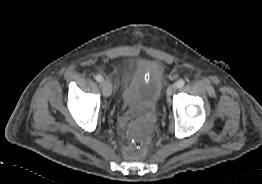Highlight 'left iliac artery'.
<instances>
[{
    "label": "left iliac artery",
    "instance_id": "44dca946",
    "mask_svg": "<svg viewBox=\"0 0 262 184\" xmlns=\"http://www.w3.org/2000/svg\"><path fill=\"white\" fill-rule=\"evenodd\" d=\"M178 88H182L185 85V81L183 79H180L176 83Z\"/></svg>",
    "mask_w": 262,
    "mask_h": 184
}]
</instances>
